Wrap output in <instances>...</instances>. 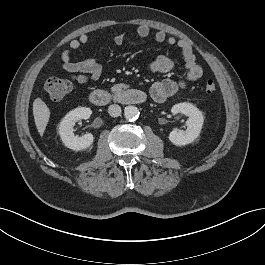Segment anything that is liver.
Masks as SVG:
<instances>
[{
    "instance_id": "obj_1",
    "label": "liver",
    "mask_w": 265,
    "mask_h": 265,
    "mask_svg": "<svg viewBox=\"0 0 265 265\" xmlns=\"http://www.w3.org/2000/svg\"><path fill=\"white\" fill-rule=\"evenodd\" d=\"M33 116L38 133L42 136L49 122L50 110L41 98L33 102Z\"/></svg>"
}]
</instances>
